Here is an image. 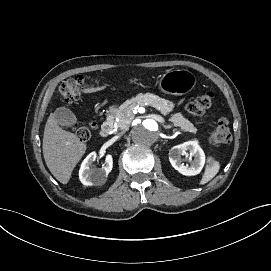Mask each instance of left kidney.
I'll list each match as a JSON object with an SVG mask.
<instances>
[{
	"instance_id": "left-kidney-1",
	"label": "left kidney",
	"mask_w": 271,
	"mask_h": 271,
	"mask_svg": "<svg viewBox=\"0 0 271 271\" xmlns=\"http://www.w3.org/2000/svg\"><path fill=\"white\" fill-rule=\"evenodd\" d=\"M186 151H190L194 156L191 165L182 163V155H186ZM169 161L171 165L183 175L192 176L200 172L205 162V154L198 144V140L187 141L182 144L172 147L169 151Z\"/></svg>"
}]
</instances>
